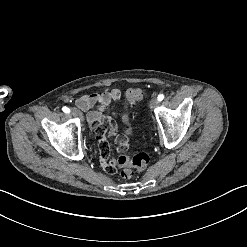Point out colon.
Masks as SVG:
<instances>
[{"label":"colon","mask_w":247,"mask_h":247,"mask_svg":"<svg viewBox=\"0 0 247 247\" xmlns=\"http://www.w3.org/2000/svg\"><path fill=\"white\" fill-rule=\"evenodd\" d=\"M143 91L140 88H132L127 91V99L129 101H137L143 98ZM129 116L125 114L123 116V120L128 122ZM126 133L131 136L132 132L131 129L128 128ZM150 162V156L144 152H138L135 154L134 151L129 150L126 154H122L117 156L116 164L119 166L118 171L122 177L128 179L134 175V170H142L144 169L148 163ZM117 171V172H118Z\"/></svg>","instance_id":"1"}]
</instances>
